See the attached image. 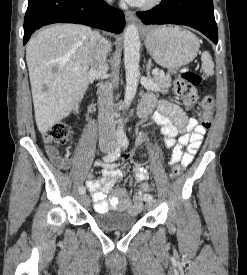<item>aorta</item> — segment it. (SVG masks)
Returning a JSON list of instances; mask_svg holds the SVG:
<instances>
[{
  "label": "aorta",
  "mask_w": 247,
  "mask_h": 275,
  "mask_svg": "<svg viewBox=\"0 0 247 275\" xmlns=\"http://www.w3.org/2000/svg\"><path fill=\"white\" fill-rule=\"evenodd\" d=\"M139 61H140V40L137 26L130 24L124 33V65L126 71V88L124 103L126 108L133 100L139 80ZM117 137L119 140L126 139L123 120H120Z\"/></svg>",
  "instance_id": "762f6f07"
}]
</instances>
